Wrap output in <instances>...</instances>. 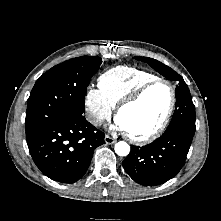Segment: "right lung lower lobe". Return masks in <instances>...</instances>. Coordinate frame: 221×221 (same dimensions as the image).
Wrapping results in <instances>:
<instances>
[{
  "label": "right lung lower lobe",
  "mask_w": 221,
  "mask_h": 221,
  "mask_svg": "<svg viewBox=\"0 0 221 221\" xmlns=\"http://www.w3.org/2000/svg\"><path fill=\"white\" fill-rule=\"evenodd\" d=\"M105 134L84 116L64 118L27 140L32 159L52 180L74 183L87 171L94 149L104 144Z\"/></svg>",
  "instance_id": "98d812e1"
}]
</instances>
